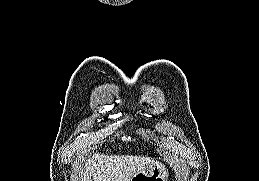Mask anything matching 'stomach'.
<instances>
[{"instance_id":"obj_1","label":"stomach","mask_w":259,"mask_h":181,"mask_svg":"<svg viewBox=\"0 0 259 181\" xmlns=\"http://www.w3.org/2000/svg\"><path fill=\"white\" fill-rule=\"evenodd\" d=\"M130 181H167V173L161 164L155 163L136 173Z\"/></svg>"}]
</instances>
